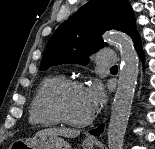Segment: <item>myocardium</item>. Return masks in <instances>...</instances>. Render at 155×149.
<instances>
[{
    "label": "myocardium",
    "mask_w": 155,
    "mask_h": 149,
    "mask_svg": "<svg viewBox=\"0 0 155 149\" xmlns=\"http://www.w3.org/2000/svg\"><path fill=\"white\" fill-rule=\"evenodd\" d=\"M71 88H83V84L75 79H64L57 83L49 93V106L60 122L75 127L87 126L93 121V114L78 121L70 118L63 107V96Z\"/></svg>",
    "instance_id": "myocardium-1"
}]
</instances>
